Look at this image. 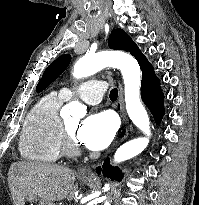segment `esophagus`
Returning <instances> with one entry per match:
<instances>
[{
	"label": "esophagus",
	"mask_w": 199,
	"mask_h": 205,
	"mask_svg": "<svg viewBox=\"0 0 199 205\" xmlns=\"http://www.w3.org/2000/svg\"><path fill=\"white\" fill-rule=\"evenodd\" d=\"M121 93L119 94V100L121 101ZM122 121H123V125L127 126L128 125V121L126 118V114L124 113V111H122ZM119 143V141H117L107 152L106 154L102 157L101 160L98 161V164H101L103 162V160L105 159V157L113 150V148L115 147V145H117ZM78 173L80 176L82 177H93L94 176V172L92 171L90 165H84L81 166L78 170Z\"/></svg>",
	"instance_id": "esophagus-1"
}]
</instances>
